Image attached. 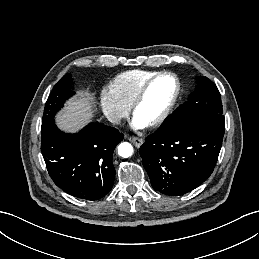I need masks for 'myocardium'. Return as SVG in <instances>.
I'll return each instance as SVG.
<instances>
[{
    "label": "myocardium",
    "mask_w": 259,
    "mask_h": 259,
    "mask_svg": "<svg viewBox=\"0 0 259 259\" xmlns=\"http://www.w3.org/2000/svg\"><path fill=\"white\" fill-rule=\"evenodd\" d=\"M162 77H171L174 80L175 92H174L173 98L171 99L170 103L168 104V106L166 107L164 112L157 119H155L151 123L147 124V126L151 127V128L160 126L162 123H164L166 121V119L169 117V115L171 114V112L173 111V109L178 101L181 86H180V81H179V78L177 77V75L172 72H169V71H162V72L156 73L154 76L149 78L142 85V87L139 89V91L136 94V96L133 100V103L131 105V112H132L133 116H135L136 110H137L138 106L141 104V102L143 101L150 86L156 80H158L159 78H162Z\"/></svg>",
    "instance_id": "1"
}]
</instances>
